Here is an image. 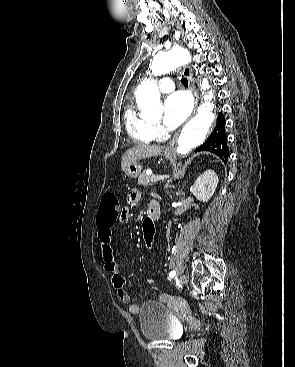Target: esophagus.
<instances>
[{"label": "esophagus", "mask_w": 295, "mask_h": 367, "mask_svg": "<svg viewBox=\"0 0 295 367\" xmlns=\"http://www.w3.org/2000/svg\"><path fill=\"white\" fill-rule=\"evenodd\" d=\"M182 73L187 78L188 83H189V89L192 92L193 97H194V104H195L194 105V110H193V114H194L196 112L197 105H198V94H197V91L195 89L193 76H192V70L189 66H184L182 68ZM177 135H178V133H176L175 136L173 137V139L169 142L168 146L165 149L166 152L173 151Z\"/></svg>", "instance_id": "34e87169"}]
</instances>
